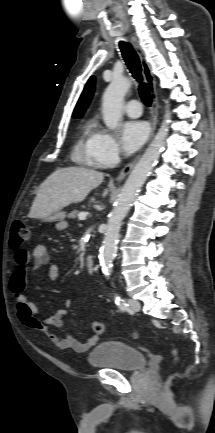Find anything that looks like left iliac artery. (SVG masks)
<instances>
[{"instance_id": "obj_1", "label": "left iliac artery", "mask_w": 215, "mask_h": 433, "mask_svg": "<svg viewBox=\"0 0 215 433\" xmlns=\"http://www.w3.org/2000/svg\"><path fill=\"white\" fill-rule=\"evenodd\" d=\"M115 303L121 311L129 310L128 304L119 295L115 294Z\"/></svg>"}]
</instances>
